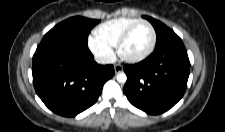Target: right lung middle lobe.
Masks as SVG:
<instances>
[{
  "instance_id": "right-lung-middle-lobe-1",
  "label": "right lung middle lobe",
  "mask_w": 225,
  "mask_h": 132,
  "mask_svg": "<svg viewBox=\"0 0 225 132\" xmlns=\"http://www.w3.org/2000/svg\"><path fill=\"white\" fill-rule=\"evenodd\" d=\"M100 21L80 16L71 17L53 27L41 42L59 41L87 46L91 29Z\"/></svg>"
}]
</instances>
